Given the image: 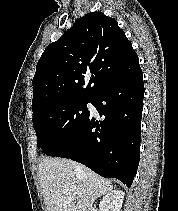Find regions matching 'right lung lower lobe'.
I'll list each match as a JSON object with an SVG mask.
<instances>
[{
  "label": "right lung lower lobe",
  "instance_id": "98d812e1",
  "mask_svg": "<svg viewBox=\"0 0 178 211\" xmlns=\"http://www.w3.org/2000/svg\"><path fill=\"white\" fill-rule=\"evenodd\" d=\"M144 91L141 68L108 86L91 101L103 120L90 113L78 131L47 155L70 158L130 187L139 164Z\"/></svg>",
  "mask_w": 178,
  "mask_h": 211
}]
</instances>
